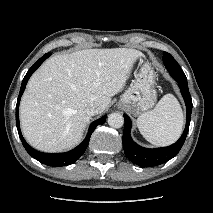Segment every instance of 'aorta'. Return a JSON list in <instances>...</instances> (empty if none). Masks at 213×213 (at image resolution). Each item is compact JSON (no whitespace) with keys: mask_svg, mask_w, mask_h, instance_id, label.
Masks as SVG:
<instances>
[{"mask_svg":"<svg viewBox=\"0 0 213 213\" xmlns=\"http://www.w3.org/2000/svg\"><path fill=\"white\" fill-rule=\"evenodd\" d=\"M108 124L113 128H121L124 125V118L120 113H112L108 116Z\"/></svg>","mask_w":213,"mask_h":213,"instance_id":"1","label":"aorta"}]
</instances>
